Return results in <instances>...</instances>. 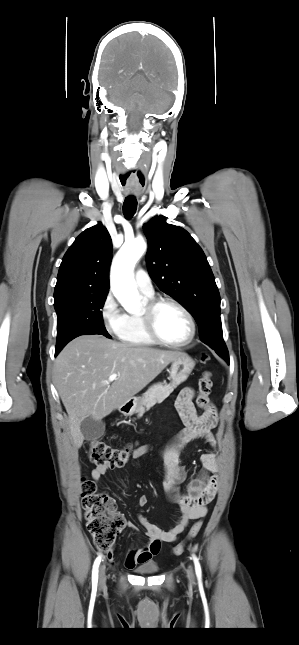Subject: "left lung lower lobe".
<instances>
[{
    "instance_id": "left-lung-lower-lobe-1",
    "label": "left lung lower lobe",
    "mask_w": 299,
    "mask_h": 645,
    "mask_svg": "<svg viewBox=\"0 0 299 645\" xmlns=\"http://www.w3.org/2000/svg\"><path fill=\"white\" fill-rule=\"evenodd\" d=\"M227 362L229 361V358L225 359Z\"/></svg>"
}]
</instances>
